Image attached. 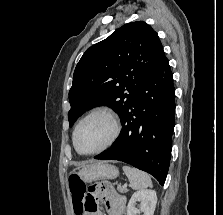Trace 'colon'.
I'll use <instances>...</instances> for the list:
<instances>
[{"label": "colon", "mask_w": 223, "mask_h": 215, "mask_svg": "<svg viewBox=\"0 0 223 215\" xmlns=\"http://www.w3.org/2000/svg\"><path fill=\"white\" fill-rule=\"evenodd\" d=\"M69 186L75 214L86 215L92 211L94 207L86 203L85 186L78 175L70 176Z\"/></svg>", "instance_id": "obj_1"}]
</instances>
